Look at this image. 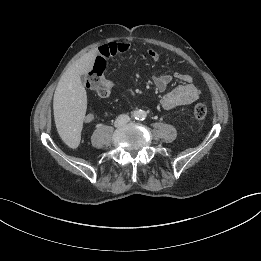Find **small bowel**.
<instances>
[{
	"label": "small bowel",
	"instance_id": "1",
	"mask_svg": "<svg viewBox=\"0 0 261 261\" xmlns=\"http://www.w3.org/2000/svg\"><path fill=\"white\" fill-rule=\"evenodd\" d=\"M130 50V44L124 41H113L100 46L98 55L95 59V63L100 61L106 65V61L114 56L126 54ZM148 57L153 62H158L160 60L159 53L154 49L147 50ZM94 63V64H95ZM180 81L172 90L166 92L168 85L174 80ZM153 82L156 89L164 93L160 104L165 110H171L180 106H187L195 102L200 95L199 89L193 84L192 78L188 74L184 73H174L171 74H158L153 77ZM111 91L114 89V84L107 80ZM94 121V115L88 113L84 116V122L90 124Z\"/></svg>",
	"mask_w": 261,
	"mask_h": 261
}]
</instances>
